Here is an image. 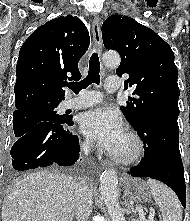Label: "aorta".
I'll list each match as a JSON object with an SVG mask.
<instances>
[{
    "instance_id": "1",
    "label": "aorta",
    "mask_w": 190,
    "mask_h": 221,
    "mask_svg": "<svg viewBox=\"0 0 190 221\" xmlns=\"http://www.w3.org/2000/svg\"><path fill=\"white\" fill-rule=\"evenodd\" d=\"M103 62L108 67H117L120 64V56L117 53H107L103 56ZM117 185V172L113 169L105 170L100 178L102 199L112 221H125L123 211L118 201Z\"/></svg>"
}]
</instances>
